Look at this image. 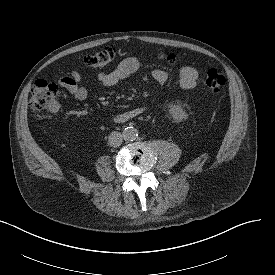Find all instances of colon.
Here are the masks:
<instances>
[{
  "mask_svg": "<svg viewBox=\"0 0 275 275\" xmlns=\"http://www.w3.org/2000/svg\"><path fill=\"white\" fill-rule=\"evenodd\" d=\"M117 56V51L113 47L104 48L102 51L86 56L84 63L93 68L101 69L108 66ZM166 61L170 64H177L179 60L175 55H167ZM224 75L217 69L211 68L206 72L205 85L212 93L220 92L225 86ZM59 100V92L54 83L43 79L34 81L31 90L30 109L34 114H40L52 107Z\"/></svg>",
  "mask_w": 275,
  "mask_h": 275,
  "instance_id": "5ec220e1",
  "label": "colon"
}]
</instances>
